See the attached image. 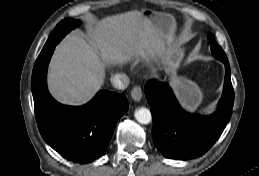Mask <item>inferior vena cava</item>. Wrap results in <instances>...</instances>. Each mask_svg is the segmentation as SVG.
<instances>
[{
  "instance_id": "602c4592",
  "label": "inferior vena cava",
  "mask_w": 259,
  "mask_h": 176,
  "mask_svg": "<svg viewBox=\"0 0 259 176\" xmlns=\"http://www.w3.org/2000/svg\"><path fill=\"white\" fill-rule=\"evenodd\" d=\"M112 85L119 90H124L129 85V78L125 73H117L111 77Z\"/></svg>"
}]
</instances>
